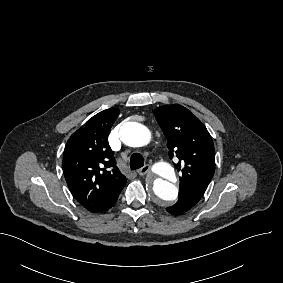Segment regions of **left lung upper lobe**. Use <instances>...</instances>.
<instances>
[{"label":"left lung upper lobe","mask_w":283,"mask_h":283,"mask_svg":"<svg viewBox=\"0 0 283 283\" xmlns=\"http://www.w3.org/2000/svg\"><path fill=\"white\" fill-rule=\"evenodd\" d=\"M165 137L169 155L179 159L175 165L182 172L179 196L190 194L202 198L215 171L212 138L203 123L185 107L173 104L154 110Z\"/></svg>","instance_id":"obj_1"}]
</instances>
